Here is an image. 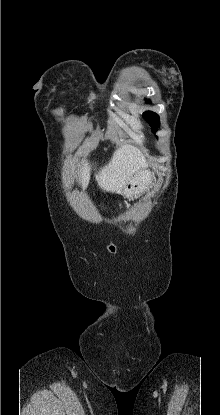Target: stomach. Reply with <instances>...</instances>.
I'll return each instance as SVG.
<instances>
[{
    "label": "stomach",
    "mask_w": 220,
    "mask_h": 415,
    "mask_svg": "<svg viewBox=\"0 0 220 415\" xmlns=\"http://www.w3.org/2000/svg\"><path fill=\"white\" fill-rule=\"evenodd\" d=\"M153 173L148 169H140L136 172L122 190L127 198L140 196L152 183Z\"/></svg>",
    "instance_id": "0dacf381"
}]
</instances>
